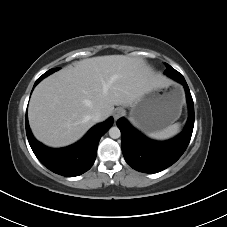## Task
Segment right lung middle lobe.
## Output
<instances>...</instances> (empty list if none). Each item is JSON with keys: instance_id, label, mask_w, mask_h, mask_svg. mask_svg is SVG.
I'll use <instances>...</instances> for the list:
<instances>
[{"instance_id": "right-lung-middle-lobe-1", "label": "right lung middle lobe", "mask_w": 227, "mask_h": 227, "mask_svg": "<svg viewBox=\"0 0 227 227\" xmlns=\"http://www.w3.org/2000/svg\"><path fill=\"white\" fill-rule=\"evenodd\" d=\"M59 68H53V69H50L48 70L46 73H44L41 77L44 78L50 74H52L53 72L57 71Z\"/></svg>"}]
</instances>
